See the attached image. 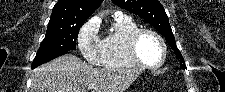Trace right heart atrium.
I'll return each mask as SVG.
<instances>
[{"label":"right heart atrium","mask_w":225,"mask_h":92,"mask_svg":"<svg viewBox=\"0 0 225 92\" xmlns=\"http://www.w3.org/2000/svg\"><path fill=\"white\" fill-rule=\"evenodd\" d=\"M77 45L86 62L95 66L103 63V39L96 19H89L81 26Z\"/></svg>","instance_id":"right-heart-atrium-1"}]
</instances>
